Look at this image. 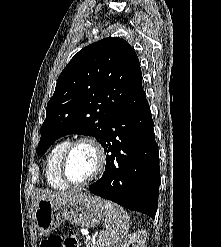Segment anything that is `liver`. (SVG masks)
<instances>
[{
  "instance_id": "liver-1",
  "label": "liver",
  "mask_w": 221,
  "mask_h": 247,
  "mask_svg": "<svg viewBox=\"0 0 221 247\" xmlns=\"http://www.w3.org/2000/svg\"><path fill=\"white\" fill-rule=\"evenodd\" d=\"M74 194H75L74 192H60V193H48L47 192L41 196H38L37 199H38V202L40 200H63V199L73 196Z\"/></svg>"
}]
</instances>
